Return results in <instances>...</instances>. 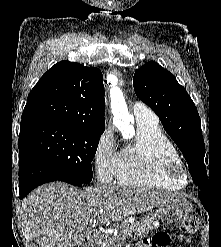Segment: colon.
<instances>
[{
	"instance_id": "colon-1",
	"label": "colon",
	"mask_w": 221,
	"mask_h": 247,
	"mask_svg": "<svg viewBox=\"0 0 221 247\" xmlns=\"http://www.w3.org/2000/svg\"><path fill=\"white\" fill-rule=\"evenodd\" d=\"M199 214L191 213L187 216L180 227V233L171 239L165 234H156L146 242L151 247H184L190 242V237L194 234L198 228ZM78 247H88L86 243L79 245Z\"/></svg>"
}]
</instances>
